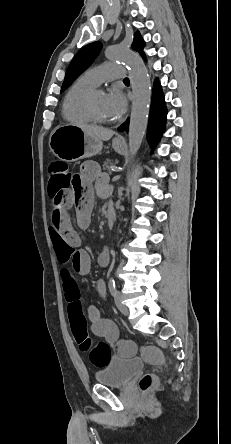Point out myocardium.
I'll return each mask as SVG.
<instances>
[{
    "mask_svg": "<svg viewBox=\"0 0 231 444\" xmlns=\"http://www.w3.org/2000/svg\"><path fill=\"white\" fill-rule=\"evenodd\" d=\"M97 92H100V91L94 90L88 96V99H87V102H86L87 112H88L90 118L92 119V121L95 122V123H99V124H109V123H112L113 120L105 119V118L100 117L97 114L96 110H95V107H94V96H95V94Z\"/></svg>",
    "mask_w": 231,
    "mask_h": 444,
    "instance_id": "obj_1",
    "label": "myocardium"
}]
</instances>
